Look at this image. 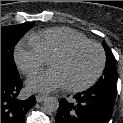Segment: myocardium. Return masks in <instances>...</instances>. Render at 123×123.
Instances as JSON below:
<instances>
[{
    "mask_svg": "<svg viewBox=\"0 0 123 123\" xmlns=\"http://www.w3.org/2000/svg\"><path fill=\"white\" fill-rule=\"evenodd\" d=\"M87 45H91L94 46L98 49L99 54H100V63L98 66L97 71L95 72V74L92 76V78L90 80H88L87 82L80 84V85H66V89L68 91L71 92H81L84 91L88 88H90L91 86H93L98 79L100 78V76L102 75L105 65H106V53L104 48L102 47L101 44H99L96 41L93 40H85V41H79V42H75L69 46H67L66 48L62 49L61 51L55 53L51 58H65L68 57L69 55H71L73 52H75L77 49L87 46Z\"/></svg>",
    "mask_w": 123,
    "mask_h": 123,
    "instance_id": "1",
    "label": "myocardium"
}]
</instances>
